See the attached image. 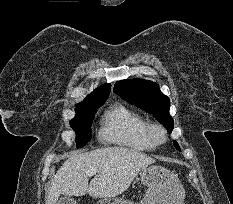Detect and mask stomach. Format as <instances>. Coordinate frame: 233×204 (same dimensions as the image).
I'll list each match as a JSON object with an SVG mask.
<instances>
[{"mask_svg": "<svg viewBox=\"0 0 233 204\" xmlns=\"http://www.w3.org/2000/svg\"><path fill=\"white\" fill-rule=\"evenodd\" d=\"M141 184L147 187L140 204H183L185 190L178 177L168 169L149 165L139 172ZM97 204H134L125 199H104Z\"/></svg>", "mask_w": 233, "mask_h": 204, "instance_id": "stomach-1", "label": "stomach"}]
</instances>
